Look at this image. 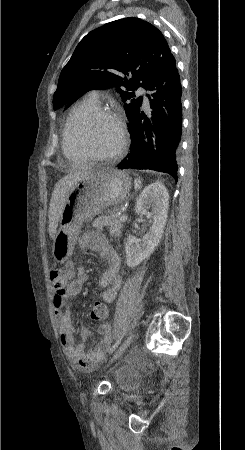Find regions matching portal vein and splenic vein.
<instances>
[{
    "label": "portal vein and splenic vein",
    "instance_id": "portal-vein-and-splenic-vein-1",
    "mask_svg": "<svg viewBox=\"0 0 245 450\" xmlns=\"http://www.w3.org/2000/svg\"><path fill=\"white\" fill-rule=\"evenodd\" d=\"M126 219H127V216H125V215H122L119 217V220H121L123 222L126 221Z\"/></svg>",
    "mask_w": 245,
    "mask_h": 450
}]
</instances>
